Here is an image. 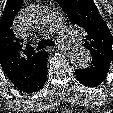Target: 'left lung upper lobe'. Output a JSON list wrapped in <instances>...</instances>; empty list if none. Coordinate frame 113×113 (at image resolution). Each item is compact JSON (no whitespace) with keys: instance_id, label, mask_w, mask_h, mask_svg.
<instances>
[{"instance_id":"left-lung-upper-lobe-1","label":"left lung upper lobe","mask_w":113,"mask_h":113,"mask_svg":"<svg viewBox=\"0 0 113 113\" xmlns=\"http://www.w3.org/2000/svg\"><path fill=\"white\" fill-rule=\"evenodd\" d=\"M73 25L84 32V47L92 57L111 63L113 37L93 0H56Z\"/></svg>"}]
</instances>
